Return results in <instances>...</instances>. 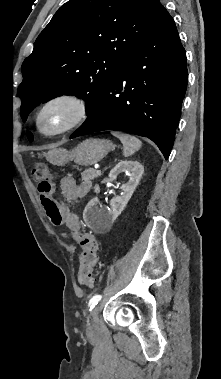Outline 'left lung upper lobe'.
I'll use <instances>...</instances> for the list:
<instances>
[{
    "label": "left lung upper lobe",
    "instance_id": "1",
    "mask_svg": "<svg viewBox=\"0 0 221 379\" xmlns=\"http://www.w3.org/2000/svg\"><path fill=\"white\" fill-rule=\"evenodd\" d=\"M159 0H70L22 64L21 115L61 95L86 101L87 114L108 79L159 21ZM28 138L33 135L28 132Z\"/></svg>",
    "mask_w": 221,
    "mask_h": 379
}]
</instances>
